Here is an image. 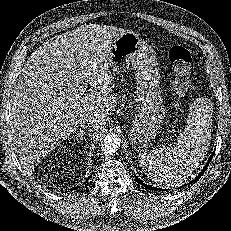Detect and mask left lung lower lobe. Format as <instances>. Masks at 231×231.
Masks as SVG:
<instances>
[{
	"mask_svg": "<svg viewBox=\"0 0 231 231\" xmlns=\"http://www.w3.org/2000/svg\"><path fill=\"white\" fill-rule=\"evenodd\" d=\"M212 157H213V154H212V156L210 157V159L208 160V162H207V164L205 165V167L203 168V170L200 172V174L195 178V180H193V181H191L190 183H189V185L190 184H192L193 182H196L203 174H204V172H205V170L207 169V167H208V165H209V163H210V161H211V159H212ZM135 178L137 179V181L142 185V186H144L145 188H147V189H149V190H162V189H157V188H153V187H151V186H148V185H146V184H144L140 179H138L136 176H135ZM186 186V185H185Z\"/></svg>",
	"mask_w": 231,
	"mask_h": 231,
	"instance_id": "1",
	"label": "left lung lower lobe"
}]
</instances>
